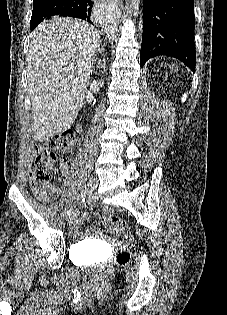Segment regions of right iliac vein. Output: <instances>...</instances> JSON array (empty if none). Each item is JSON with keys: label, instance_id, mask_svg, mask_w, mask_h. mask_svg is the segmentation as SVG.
Listing matches in <instances>:
<instances>
[{"label": "right iliac vein", "instance_id": "63e3f726", "mask_svg": "<svg viewBox=\"0 0 227 315\" xmlns=\"http://www.w3.org/2000/svg\"><path fill=\"white\" fill-rule=\"evenodd\" d=\"M97 179L95 177H91L88 180L87 186H88V192L89 194H91L97 187ZM78 212H74L73 214H71L68 218V223H73L75 221V219L77 218Z\"/></svg>", "mask_w": 227, "mask_h": 315}]
</instances>
